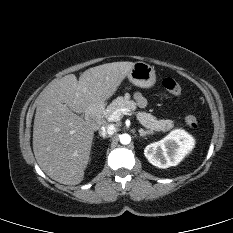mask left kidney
<instances>
[{
    "label": "left kidney",
    "instance_id": "5707ae66",
    "mask_svg": "<svg viewBox=\"0 0 233 233\" xmlns=\"http://www.w3.org/2000/svg\"><path fill=\"white\" fill-rule=\"evenodd\" d=\"M194 145V138L184 130L178 129L162 140L146 146L144 154L152 165L165 169L181 162Z\"/></svg>",
    "mask_w": 233,
    "mask_h": 233
}]
</instances>
